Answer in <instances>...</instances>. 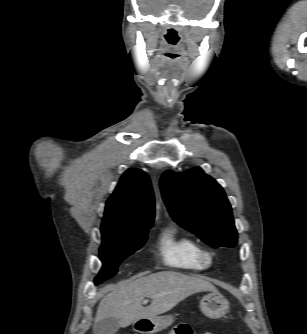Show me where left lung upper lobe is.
Returning a JSON list of instances; mask_svg holds the SVG:
<instances>
[{
    "label": "left lung upper lobe",
    "mask_w": 307,
    "mask_h": 334,
    "mask_svg": "<svg viewBox=\"0 0 307 334\" xmlns=\"http://www.w3.org/2000/svg\"><path fill=\"white\" fill-rule=\"evenodd\" d=\"M160 188L166 207L181 227L214 248L237 243L230 203L222 187L199 167L165 172Z\"/></svg>",
    "instance_id": "1"
}]
</instances>
